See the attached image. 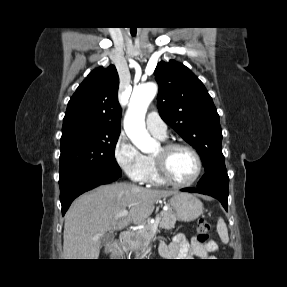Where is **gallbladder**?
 Returning <instances> with one entry per match:
<instances>
[{
    "instance_id": "obj_1",
    "label": "gallbladder",
    "mask_w": 287,
    "mask_h": 287,
    "mask_svg": "<svg viewBox=\"0 0 287 287\" xmlns=\"http://www.w3.org/2000/svg\"><path fill=\"white\" fill-rule=\"evenodd\" d=\"M114 239L113 233H106L103 235V237L100 239V246H106Z\"/></svg>"
}]
</instances>
